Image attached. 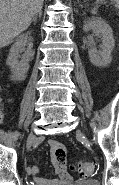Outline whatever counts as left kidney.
<instances>
[{
    "mask_svg": "<svg viewBox=\"0 0 119 185\" xmlns=\"http://www.w3.org/2000/svg\"><path fill=\"white\" fill-rule=\"evenodd\" d=\"M90 30L102 40L100 51L95 48L88 51L90 62L97 67H106L111 63V52L115 46L113 30L108 23L98 17L88 18L84 21L83 31Z\"/></svg>",
    "mask_w": 119,
    "mask_h": 185,
    "instance_id": "1",
    "label": "left kidney"
}]
</instances>
